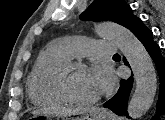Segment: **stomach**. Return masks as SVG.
Returning <instances> with one entry per match:
<instances>
[{
    "label": "stomach",
    "instance_id": "stomach-1",
    "mask_svg": "<svg viewBox=\"0 0 165 120\" xmlns=\"http://www.w3.org/2000/svg\"><path fill=\"white\" fill-rule=\"evenodd\" d=\"M80 115L75 118H67L66 116L62 117V120H116V118L107 110L91 108L86 109L85 111L79 113ZM60 118L57 114L52 113H36L30 119L41 120L47 119L51 120L52 118ZM57 119V120H58Z\"/></svg>",
    "mask_w": 165,
    "mask_h": 120
}]
</instances>
